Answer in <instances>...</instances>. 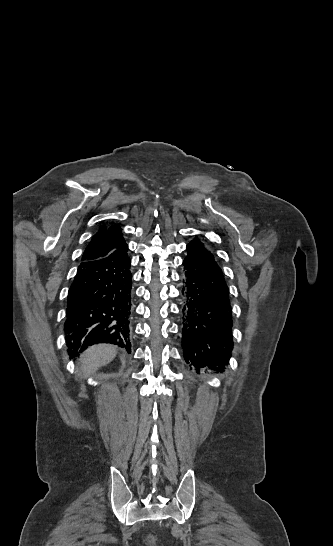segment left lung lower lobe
Wrapping results in <instances>:
<instances>
[{
  "label": "left lung lower lobe",
  "mask_w": 333,
  "mask_h": 546,
  "mask_svg": "<svg viewBox=\"0 0 333 546\" xmlns=\"http://www.w3.org/2000/svg\"><path fill=\"white\" fill-rule=\"evenodd\" d=\"M182 347L186 363L225 368L232 340L229 289L213 254L197 238L186 246Z\"/></svg>",
  "instance_id": "obj_1"
}]
</instances>
